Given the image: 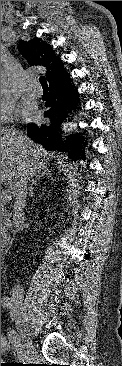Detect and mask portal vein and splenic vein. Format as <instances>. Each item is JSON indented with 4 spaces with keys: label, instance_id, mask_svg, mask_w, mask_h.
<instances>
[{
    "label": "portal vein and splenic vein",
    "instance_id": "1",
    "mask_svg": "<svg viewBox=\"0 0 122 366\" xmlns=\"http://www.w3.org/2000/svg\"><path fill=\"white\" fill-rule=\"evenodd\" d=\"M1 197H3L5 200H10L11 199V196H10L8 190H2Z\"/></svg>",
    "mask_w": 122,
    "mask_h": 366
}]
</instances>
